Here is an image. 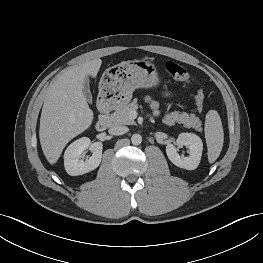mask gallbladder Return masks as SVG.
<instances>
[{"instance_id": "gallbladder-1", "label": "gallbladder", "mask_w": 263, "mask_h": 263, "mask_svg": "<svg viewBox=\"0 0 263 263\" xmlns=\"http://www.w3.org/2000/svg\"><path fill=\"white\" fill-rule=\"evenodd\" d=\"M83 94H84L85 98L87 99V101L89 103H92V95H91L90 88H89L88 77L85 78L84 83H83Z\"/></svg>"}]
</instances>
